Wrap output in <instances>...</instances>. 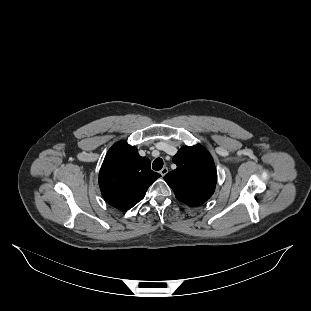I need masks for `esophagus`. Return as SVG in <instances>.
Wrapping results in <instances>:
<instances>
[{
    "label": "esophagus",
    "instance_id": "obj_1",
    "mask_svg": "<svg viewBox=\"0 0 311 311\" xmlns=\"http://www.w3.org/2000/svg\"><path fill=\"white\" fill-rule=\"evenodd\" d=\"M167 172H168V168H167V167H163V168L160 170V174H161L162 176H164Z\"/></svg>",
    "mask_w": 311,
    "mask_h": 311
}]
</instances>
